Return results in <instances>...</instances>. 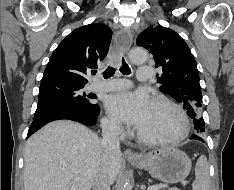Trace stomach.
<instances>
[{"mask_svg": "<svg viewBox=\"0 0 234 190\" xmlns=\"http://www.w3.org/2000/svg\"><path fill=\"white\" fill-rule=\"evenodd\" d=\"M129 161L164 183L180 182L191 171V160L188 155L172 146L160 147L142 154L139 161Z\"/></svg>", "mask_w": 234, "mask_h": 190, "instance_id": "0dacf381", "label": "stomach"}]
</instances>
